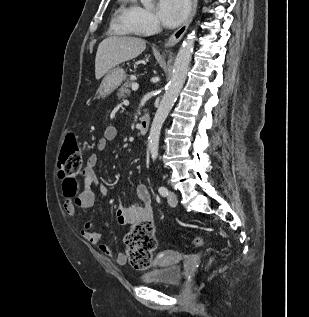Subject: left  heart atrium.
<instances>
[{"mask_svg": "<svg viewBox=\"0 0 309 317\" xmlns=\"http://www.w3.org/2000/svg\"><path fill=\"white\" fill-rule=\"evenodd\" d=\"M190 10L189 0H159L158 15L168 28L178 26L185 20Z\"/></svg>", "mask_w": 309, "mask_h": 317, "instance_id": "1", "label": "left heart atrium"}]
</instances>
